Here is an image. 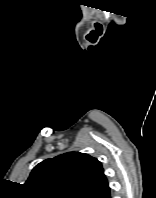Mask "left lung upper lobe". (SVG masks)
<instances>
[{
	"label": "left lung upper lobe",
	"mask_w": 156,
	"mask_h": 198,
	"mask_svg": "<svg viewBox=\"0 0 156 198\" xmlns=\"http://www.w3.org/2000/svg\"><path fill=\"white\" fill-rule=\"evenodd\" d=\"M25 185L32 198H95L108 182L100 161L68 152L39 163Z\"/></svg>",
	"instance_id": "obj_1"
}]
</instances>
